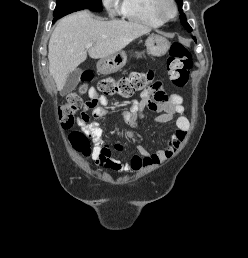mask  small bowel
<instances>
[{
	"label": "small bowel",
	"mask_w": 248,
	"mask_h": 258,
	"mask_svg": "<svg viewBox=\"0 0 248 258\" xmlns=\"http://www.w3.org/2000/svg\"><path fill=\"white\" fill-rule=\"evenodd\" d=\"M155 96V100H152L151 92L149 90L143 91L141 99L134 101L131 109L125 114L126 122L134 125L142 117L143 110L148 108L159 112L155 118L158 123H170L176 116V129L164 148L151 153L142 145H137L138 154L133 156L130 162L123 163L113 156L108 147L104 146L101 139L103 129L97 122L90 121L88 113L91 111L92 116L96 119L106 116L108 100L96 88L91 87L88 90L89 99L85 102L77 123L87 135L93 138L95 142L93 158L98 165L114 171L138 172L146 167L161 164L174 156L181 147L189 129V122L184 115V107L182 106V97L179 94H172L169 97ZM114 147L116 150L121 149L120 144H115Z\"/></svg>",
	"instance_id": "1"
}]
</instances>
